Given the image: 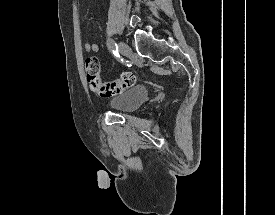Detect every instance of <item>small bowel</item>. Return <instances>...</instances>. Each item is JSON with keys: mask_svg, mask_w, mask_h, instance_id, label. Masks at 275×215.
<instances>
[{"mask_svg": "<svg viewBox=\"0 0 275 215\" xmlns=\"http://www.w3.org/2000/svg\"><path fill=\"white\" fill-rule=\"evenodd\" d=\"M90 21L95 22V20L93 18H90ZM84 49L87 52H91V51H98V45L96 43H92V42H85L84 44Z\"/></svg>", "mask_w": 275, "mask_h": 215, "instance_id": "obj_1", "label": "small bowel"}]
</instances>
